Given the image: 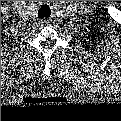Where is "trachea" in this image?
Returning a JSON list of instances; mask_svg holds the SVG:
<instances>
[{"instance_id":"trachea-1","label":"trachea","mask_w":121,"mask_h":121,"mask_svg":"<svg viewBox=\"0 0 121 121\" xmlns=\"http://www.w3.org/2000/svg\"><path fill=\"white\" fill-rule=\"evenodd\" d=\"M51 15V9L48 5H42L40 9L38 10V16L39 18H48Z\"/></svg>"}]
</instances>
